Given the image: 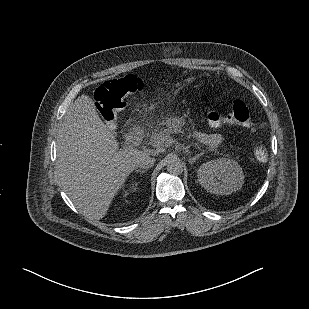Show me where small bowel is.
Masks as SVG:
<instances>
[{
  "instance_id": "1",
  "label": "small bowel",
  "mask_w": 309,
  "mask_h": 309,
  "mask_svg": "<svg viewBox=\"0 0 309 309\" xmlns=\"http://www.w3.org/2000/svg\"><path fill=\"white\" fill-rule=\"evenodd\" d=\"M195 137L198 141L210 146H216L223 140L222 135L219 133L196 132Z\"/></svg>"
}]
</instances>
